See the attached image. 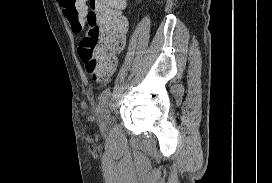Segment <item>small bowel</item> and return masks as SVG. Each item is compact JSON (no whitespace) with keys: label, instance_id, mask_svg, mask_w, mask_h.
<instances>
[{"label":"small bowel","instance_id":"c3829d8e","mask_svg":"<svg viewBox=\"0 0 272 183\" xmlns=\"http://www.w3.org/2000/svg\"><path fill=\"white\" fill-rule=\"evenodd\" d=\"M111 73H112V72H111ZM111 73H110V74H111ZM110 74H109V75H110ZM109 75H108V76H109ZM108 76H107V77H108ZM107 77H106V78H107ZM106 78H104V79H106ZM97 79H98V78H97ZM104 79H98V80H104Z\"/></svg>","mask_w":272,"mask_h":183}]
</instances>
